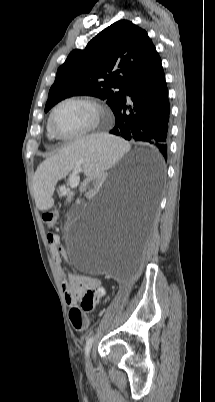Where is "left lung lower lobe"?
Here are the masks:
<instances>
[{
	"label": "left lung lower lobe",
	"mask_w": 215,
	"mask_h": 402,
	"mask_svg": "<svg viewBox=\"0 0 215 402\" xmlns=\"http://www.w3.org/2000/svg\"><path fill=\"white\" fill-rule=\"evenodd\" d=\"M126 96L130 97L132 105L126 104ZM114 115L115 127L111 134L129 141L150 143L167 160L170 104L160 57L130 82ZM162 173L159 161L158 172L148 175L151 189L156 188Z\"/></svg>",
	"instance_id": "0a47b994"
}]
</instances>
